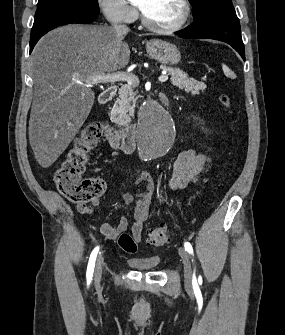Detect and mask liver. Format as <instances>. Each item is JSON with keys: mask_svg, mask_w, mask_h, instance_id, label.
Returning a JSON list of instances; mask_svg holds the SVG:
<instances>
[{"mask_svg": "<svg viewBox=\"0 0 285 335\" xmlns=\"http://www.w3.org/2000/svg\"><path fill=\"white\" fill-rule=\"evenodd\" d=\"M111 26L69 24L41 38L31 56L34 98L29 142L42 168H50L74 140L95 102L87 76L125 68L130 50Z\"/></svg>", "mask_w": 285, "mask_h": 335, "instance_id": "obj_1", "label": "liver"}]
</instances>
